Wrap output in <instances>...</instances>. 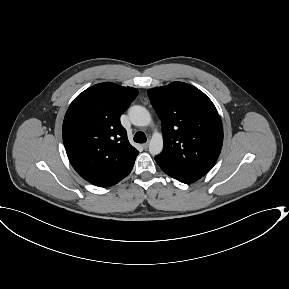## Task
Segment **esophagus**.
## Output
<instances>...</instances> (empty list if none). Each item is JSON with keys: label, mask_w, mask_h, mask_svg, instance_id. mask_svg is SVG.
Here are the masks:
<instances>
[{"label": "esophagus", "mask_w": 289, "mask_h": 289, "mask_svg": "<svg viewBox=\"0 0 289 289\" xmlns=\"http://www.w3.org/2000/svg\"><path fill=\"white\" fill-rule=\"evenodd\" d=\"M148 146H149V142H146V143L143 144V148H144V149H147Z\"/></svg>", "instance_id": "obj_1"}]
</instances>
